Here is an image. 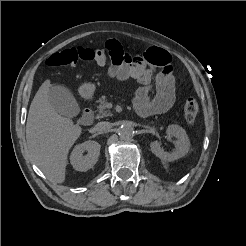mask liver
<instances>
[{"instance_id":"liver-1","label":"liver","mask_w":246,"mask_h":246,"mask_svg":"<svg viewBox=\"0 0 246 246\" xmlns=\"http://www.w3.org/2000/svg\"><path fill=\"white\" fill-rule=\"evenodd\" d=\"M50 80L35 94L27 117L26 141L33 162L53 183H63L68 153L82 128L58 114L49 101Z\"/></svg>"}]
</instances>
